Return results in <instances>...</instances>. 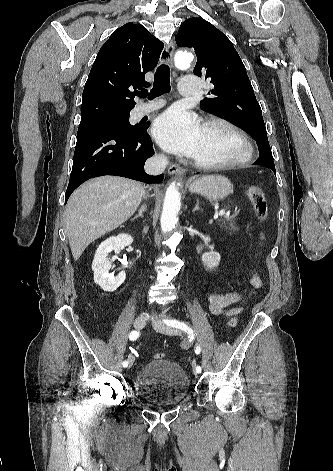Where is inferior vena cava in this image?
Instances as JSON below:
<instances>
[{"label":"inferior vena cava","mask_w":333,"mask_h":471,"mask_svg":"<svg viewBox=\"0 0 333 471\" xmlns=\"http://www.w3.org/2000/svg\"><path fill=\"white\" fill-rule=\"evenodd\" d=\"M168 165V158L164 154L155 155L145 163V172L150 175H158L164 172Z\"/></svg>","instance_id":"inferior-vena-cava-1"}]
</instances>
